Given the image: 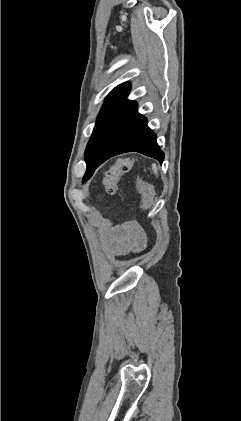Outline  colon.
Here are the masks:
<instances>
[{
    "label": "colon",
    "mask_w": 241,
    "mask_h": 421,
    "mask_svg": "<svg viewBox=\"0 0 241 421\" xmlns=\"http://www.w3.org/2000/svg\"><path fill=\"white\" fill-rule=\"evenodd\" d=\"M133 163L134 160L132 158H122L117 160L108 170L104 178V186L109 194L117 192L120 178L131 169ZM137 187L142 194L143 206L146 209L152 208L156 200L152 187L140 178L137 180Z\"/></svg>",
    "instance_id": "colon-1"
}]
</instances>
